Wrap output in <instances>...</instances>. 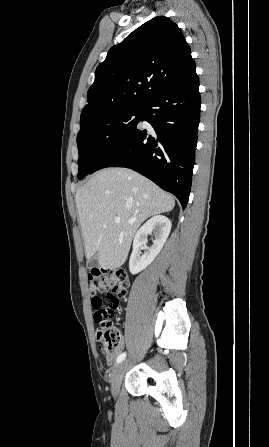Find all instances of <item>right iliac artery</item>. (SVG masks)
Segmentation results:
<instances>
[{
    "mask_svg": "<svg viewBox=\"0 0 269 447\" xmlns=\"http://www.w3.org/2000/svg\"><path fill=\"white\" fill-rule=\"evenodd\" d=\"M125 357H126V353L124 352L118 356L116 362L121 363L125 359Z\"/></svg>",
    "mask_w": 269,
    "mask_h": 447,
    "instance_id": "right-iliac-artery-1",
    "label": "right iliac artery"
}]
</instances>
